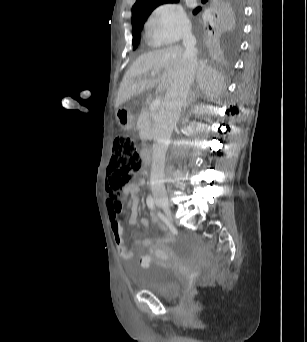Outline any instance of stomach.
<instances>
[{
	"instance_id": "obj_1",
	"label": "stomach",
	"mask_w": 307,
	"mask_h": 342,
	"mask_svg": "<svg viewBox=\"0 0 307 342\" xmlns=\"http://www.w3.org/2000/svg\"><path fill=\"white\" fill-rule=\"evenodd\" d=\"M116 119L123 129L129 130L133 127V117L126 110H117Z\"/></svg>"
}]
</instances>
